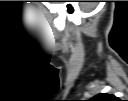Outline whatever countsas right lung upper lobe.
Returning a JSON list of instances; mask_svg holds the SVG:
<instances>
[{
	"label": "right lung upper lobe",
	"instance_id": "cb5924a9",
	"mask_svg": "<svg viewBox=\"0 0 128 101\" xmlns=\"http://www.w3.org/2000/svg\"><path fill=\"white\" fill-rule=\"evenodd\" d=\"M96 101H116V97L114 95H109L106 93H101L94 97Z\"/></svg>",
	"mask_w": 128,
	"mask_h": 101
}]
</instances>
